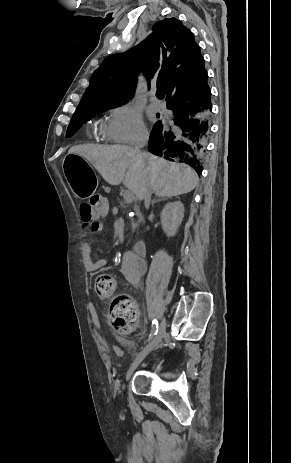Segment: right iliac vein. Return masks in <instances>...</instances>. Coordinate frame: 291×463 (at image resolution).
Instances as JSON below:
<instances>
[{"label": "right iliac vein", "mask_w": 291, "mask_h": 463, "mask_svg": "<svg viewBox=\"0 0 291 463\" xmlns=\"http://www.w3.org/2000/svg\"><path fill=\"white\" fill-rule=\"evenodd\" d=\"M165 329H166V323L165 319H162L160 327L157 331L156 336L153 338V340L137 355L133 363L130 365L127 373H126V380H128L135 369L139 366V364L145 359V357L152 351L154 350L162 341V338L165 335Z\"/></svg>", "instance_id": "obj_1"}]
</instances>
